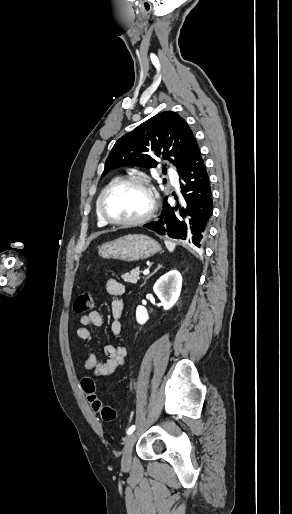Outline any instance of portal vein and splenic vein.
<instances>
[{
    "label": "portal vein and splenic vein",
    "instance_id": "portal-vein-and-splenic-vein-1",
    "mask_svg": "<svg viewBox=\"0 0 292 514\" xmlns=\"http://www.w3.org/2000/svg\"><path fill=\"white\" fill-rule=\"evenodd\" d=\"M143 274L144 276H147V274H149V270H144Z\"/></svg>",
    "mask_w": 292,
    "mask_h": 514
}]
</instances>
